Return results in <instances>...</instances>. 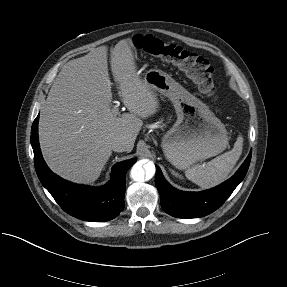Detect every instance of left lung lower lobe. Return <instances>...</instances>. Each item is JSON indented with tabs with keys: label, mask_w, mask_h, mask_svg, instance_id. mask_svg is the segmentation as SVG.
<instances>
[{
	"label": "left lung lower lobe",
	"mask_w": 287,
	"mask_h": 287,
	"mask_svg": "<svg viewBox=\"0 0 287 287\" xmlns=\"http://www.w3.org/2000/svg\"><path fill=\"white\" fill-rule=\"evenodd\" d=\"M251 152L233 177L224 183L201 192H185L173 188L156 166L155 184L161 197L163 210L177 218H197L218 209L245 177L251 160Z\"/></svg>",
	"instance_id": "left-lung-lower-lobe-1"
}]
</instances>
